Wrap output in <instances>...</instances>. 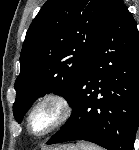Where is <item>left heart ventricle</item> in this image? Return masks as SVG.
I'll list each match as a JSON object with an SVG mask.
<instances>
[{
	"label": "left heart ventricle",
	"mask_w": 139,
	"mask_h": 150,
	"mask_svg": "<svg viewBox=\"0 0 139 150\" xmlns=\"http://www.w3.org/2000/svg\"><path fill=\"white\" fill-rule=\"evenodd\" d=\"M56 118V110L47 105L40 108L32 118L31 129L34 133H40L47 129Z\"/></svg>",
	"instance_id": "1"
}]
</instances>
